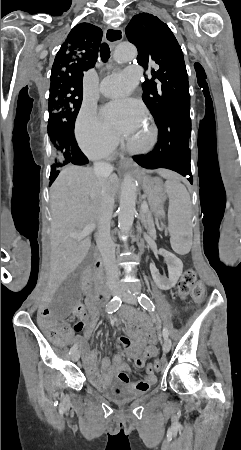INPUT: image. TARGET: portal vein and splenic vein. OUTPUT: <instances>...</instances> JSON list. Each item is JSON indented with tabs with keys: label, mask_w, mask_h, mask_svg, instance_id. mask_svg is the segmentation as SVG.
Wrapping results in <instances>:
<instances>
[{
	"label": "portal vein and splenic vein",
	"mask_w": 241,
	"mask_h": 450,
	"mask_svg": "<svg viewBox=\"0 0 241 450\" xmlns=\"http://www.w3.org/2000/svg\"><path fill=\"white\" fill-rule=\"evenodd\" d=\"M147 207H148V202H143V204H141V211L142 214L147 213ZM159 209H164V204H159ZM158 211H162V210H158ZM96 226H87V228H84V230H82V232H80V234H77V232H72V234H70V238H78V240H83V238H86V236H89V234H91V232H93V230H95Z\"/></svg>",
	"instance_id": "obj_1"
}]
</instances>
